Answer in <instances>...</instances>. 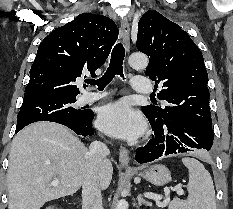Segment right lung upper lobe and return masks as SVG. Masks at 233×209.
<instances>
[{
	"mask_svg": "<svg viewBox=\"0 0 233 209\" xmlns=\"http://www.w3.org/2000/svg\"><path fill=\"white\" fill-rule=\"evenodd\" d=\"M118 38L116 24L106 16L82 13L52 31L39 45L30 69L23 103L76 98V79L95 75Z\"/></svg>",
	"mask_w": 233,
	"mask_h": 209,
	"instance_id": "1",
	"label": "right lung upper lobe"
}]
</instances>
